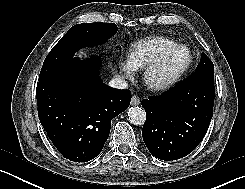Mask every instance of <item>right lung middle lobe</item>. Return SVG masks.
Here are the masks:
<instances>
[{"label": "right lung middle lobe", "mask_w": 245, "mask_h": 189, "mask_svg": "<svg viewBox=\"0 0 245 189\" xmlns=\"http://www.w3.org/2000/svg\"><path fill=\"white\" fill-rule=\"evenodd\" d=\"M117 32L114 23H83L71 27L47 55L39 80L50 77L73 60L74 53L84 47L103 44Z\"/></svg>", "instance_id": "right-lung-middle-lobe-1"}]
</instances>
